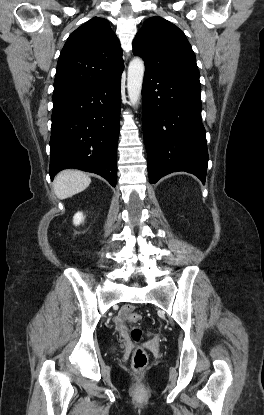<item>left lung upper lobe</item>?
Returning a JSON list of instances; mask_svg holds the SVG:
<instances>
[{
    "label": "left lung upper lobe",
    "instance_id": "1",
    "mask_svg": "<svg viewBox=\"0 0 264 415\" xmlns=\"http://www.w3.org/2000/svg\"><path fill=\"white\" fill-rule=\"evenodd\" d=\"M133 53L143 58L145 70L199 81L196 57L185 34L159 16L145 21L133 41Z\"/></svg>",
    "mask_w": 264,
    "mask_h": 415
}]
</instances>
